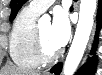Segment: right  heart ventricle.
I'll return each mask as SVG.
<instances>
[{
	"mask_svg": "<svg viewBox=\"0 0 102 75\" xmlns=\"http://www.w3.org/2000/svg\"><path fill=\"white\" fill-rule=\"evenodd\" d=\"M39 14L29 7L17 15L11 31L9 52L13 62L24 68H35L40 63L34 53V33Z\"/></svg>",
	"mask_w": 102,
	"mask_h": 75,
	"instance_id": "obj_1",
	"label": "right heart ventricle"
}]
</instances>
